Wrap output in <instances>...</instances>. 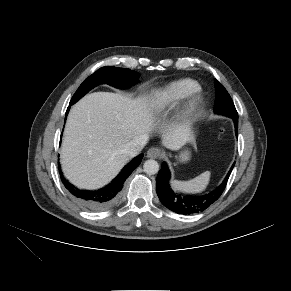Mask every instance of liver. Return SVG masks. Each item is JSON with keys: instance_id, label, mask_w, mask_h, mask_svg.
<instances>
[{"instance_id": "liver-1", "label": "liver", "mask_w": 291, "mask_h": 291, "mask_svg": "<svg viewBox=\"0 0 291 291\" xmlns=\"http://www.w3.org/2000/svg\"><path fill=\"white\" fill-rule=\"evenodd\" d=\"M156 100L131 99L119 93L95 92L71 109L61 147L65 176L80 188L95 189L111 181L129 161L123 148L128 142L149 137L157 124L151 108ZM191 141L188 125L163 131L162 144L179 150Z\"/></svg>"}]
</instances>
